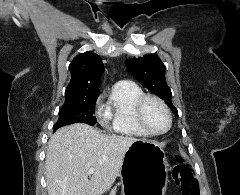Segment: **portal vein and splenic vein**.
<instances>
[{
  "label": "portal vein and splenic vein",
  "mask_w": 240,
  "mask_h": 195,
  "mask_svg": "<svg viewBox=\"0 0 240 195\" xmlns=\"http://www.w3.org/2000/svg\"><path fill=\"white\" fill-rule=\"evenodd\" d=\"M94 171H95V167H89V169H88L89 175H90V173H94Z\"/></svg>",
  "instance_id": "obj_1"
}]
</instances>
